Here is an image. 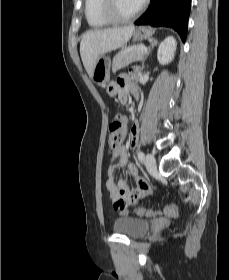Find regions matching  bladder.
<instances>
[{
  "mask_svg": "<svg viewBox=\"0 0 229 280\" xmlns=\"http://www.w3.org/2000/svg\"><path fill=\"white\" fill-rule=\"evenodd\" d=\"M113 229L126 237L141 238L151 231V226L146 219L125 216L114 221Z\"/></svg>",
  "mask_w": 229,
  "mask_h": 280,
  "instance_id": "1",
  "label": "bladder"
}]
</instances>
